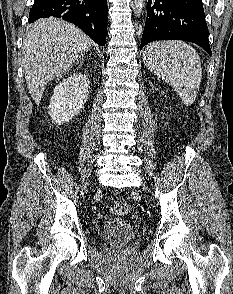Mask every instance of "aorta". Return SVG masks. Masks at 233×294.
<instances>
[{
	"mask_svg": "<svg viewBox=\"0 0 233 294\" xmlns=\"http://www.w3.org/2000/svg\"><path fill=\"white\" fill-rule=\"evenodd\" d=\"M133 3V10L135 14L138 15L145 7V0H133Z\"/></svg>",
	"mask_w": 233,
	"mask_h": 294,
	"instance_id": "obj_1",
	"label": "aorta"
}]
</instances>
